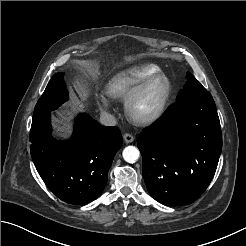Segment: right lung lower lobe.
Here are the masks:
<instances>
[{
  "mask_svg": "<svg viewBox=\"0 0 246 246\" xmlns=\"http://www.w3.org/2000/svg\"><path fill=\"white\" fill-rule=\"evenodd\" d=\"M51 112L33 114L30 150L34 165L62 201L75 205L91 202L107 183L113 158L123 143L121 133L81 114L72 138L60 142L51 136Z\"/></svg>",
  "mask_w": 246,
  "mask_h": 246,
  "instance_id": "98d812e1",
  "label": "right lung lower lobe"
}]
</instances>
